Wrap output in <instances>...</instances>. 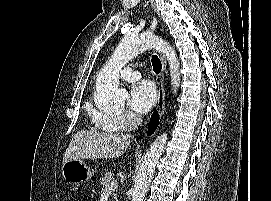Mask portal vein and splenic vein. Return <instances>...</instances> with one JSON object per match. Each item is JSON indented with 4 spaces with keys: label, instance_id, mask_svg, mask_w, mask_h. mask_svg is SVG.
I'll return each mask as SVG.
<instances>
[{
    "label": "portal vein and splenic vein",
    "instance_id": "1",
    "mask_svg": "<svg viewBox=\"0 0 271 201\" xmlns=\"http://www.w3.org/2000/svg\"><path fill=\"white\" fill-rule=\"evenodd\" d=\"M118 187V183L116 181H112L110 185L106 188V190H113Z\"/></svg>",
    "mask_w": 271,
    "mask_h": 201
}]
</instances>
